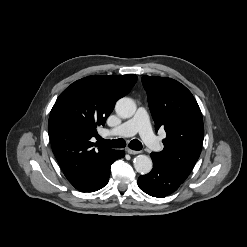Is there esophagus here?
I'll list each match as a JSON object with an SVG mask.
<instances>
[{
	"mask_svg": "<svg viewBox=\"0 0 247 247\" xmlns=\"http://www.w3.org/2000/svg\"><path fill=\"white\" fill-rule=\"evenodd\" d=\"M126 151H127V153H129L131 155H136V154H139L140 153V151L132 150V149H129V148Z\"/></svg>",
	"mask_w": 247,
	"mask_h": 247,
	"instance_id": "esophagus-1",
	"label": "esophagus"
}]
</instances>
